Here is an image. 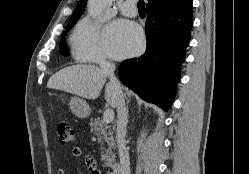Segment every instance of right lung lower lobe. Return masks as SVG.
I'll list each match as a JSON object with an SVG mask.
<instances>
[{
	"label": "right lung lower lobe",
	"mask_w": 249,
	"mask_h": 174,
	"mask_svg": "<svg viewBox=\"0 0 249 174\" xmlns=\"http://www.w3.org/2000/svg\"><path fill=\"white\" fill-rule=\"evenodd\" d=\"M192 0H175L147 9V48L119 68L121 82L142 99L168 110L193 24Z\"/></svg>",
	"instance_id": "obj_1"
}]
</instances>
